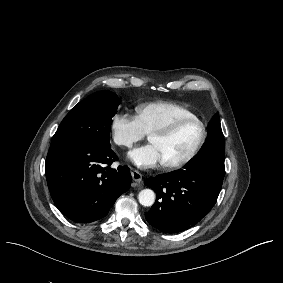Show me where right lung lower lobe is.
Wrapping results in <instances>:
<instances>
[{
    "label": "right lung lower lobe",
    "mask_w": 283,
    "mask_h": 283,
    "mask_svg": "<svg viewBox=\"0 0 283 283\" xmlns=\"http://www.w3.org/2000/svg\"><path fill=\"white\" fill-rule=\"evenodd\" d=\"M116 160L118 157L111 148L95 143H51L45 170L58 209L80 223L105 217L131 183L127 166L110 168Z\"/></svg>",
    "instance_id": "obj_1"
}]
</instances>
